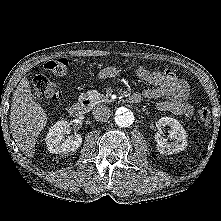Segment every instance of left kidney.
Here are the masks:
<instances>
[{
  "mask_svg": "<svg viewBox=\"0 0 221 221\" xmlns=\"http://www.w3.org/2000/svg\"><path fill=\"white\" fill-rule=\"evenodd\" d=\"M158 125L171 128L169 135L171 142H168L159 132L155 134L156 146L160 154L171 155L179 153L187 147L186 131L176 119L162 117L159 119Z\"/></svg>",
  "mask_w": 221,
  "mask_h": 221,
  "instance_id": "left-kidney-1",
  "label": "left kidney"
}]
</instances>
